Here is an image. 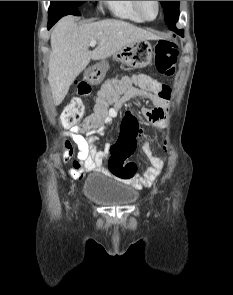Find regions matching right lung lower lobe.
Listing matches in <instances>:
<instances>
[{
  "mask_svg": "<svg viewBox=\"0 0 233 295\" xmlns=\"http://www.w3.org/2000/svg\"><path fill=\"white\" fill-rule=\"evenodd\" d=\"M72 14V15H79V8H71L64 13L61 14H49L48 17V29H50L62 16Z\"/></svg>",
  "mask_w": 233,
  "mask_h": 295,
  "instance_id": "98d812e1",
  "label": "right lung lower lobe"
}]
</instances>
